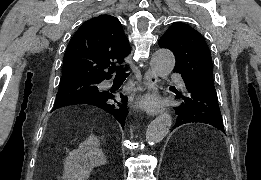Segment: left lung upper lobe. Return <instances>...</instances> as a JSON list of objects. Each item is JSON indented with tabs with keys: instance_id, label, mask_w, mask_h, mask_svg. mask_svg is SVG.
Returning a JSON list of instances; mask_svg holds the SVG:
<instances>
[{
	"instance_id": "obj_1",
	"label": "left lung upper lobe",
	"mask_w": 261,
	"mask_h": 180,
	"mask_svg": "<svg viewBox=\"0 0 261 180\" xmlns=\"http://www.w3.org/2000/svg\"><path fill=\"white\" fill-rule=\"evenodd\" d=\"M161 48L170 49L176 57L174 72L197 80L210 91H215L212 59L202 35L184 23L176 22L159 40Z\"/></svg>"
}]
</instances>
